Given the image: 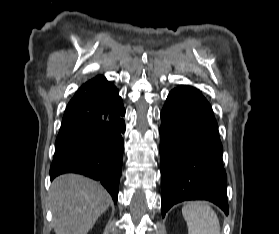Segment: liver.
<instances>
[{"label": "liver", "mask_w": 279, "mask_h": 234, "mask_svg": "<svg viewBox=\"0 0 279 234\" xmlns=\"http://www.w3.org/2000/svg\"><path fill=\"white\" fill-rule=\"evenodd\" d=\"M111 202L97 182L76 174L57 177L50 190L55 234H87Z\"/></svg>", "instance_id": "obj_1"}]
</instances>
